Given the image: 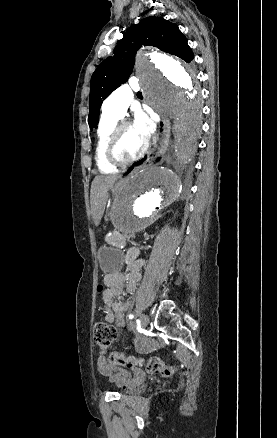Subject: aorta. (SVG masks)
I'll return each instance as SVG.
<instances>
[{
	"mask_svg": "<svg viewBox=\"0 0 277 438\" xmlns=\"http://www.w3.org/2000/svg\"><path fill=\"white\" fill-rule=\"evenodd\" d=\"M136 74L149 104L174 120L175 151L181 160L191 152L200 127V86L196 70L173 57L152 52L136 58ZM181 192L169 168L147 167L132 176L113 204V220L124 233L152 224Z\"/></svg>",
	"mask_w": 277,
	"mask_h": 438,
	"instance_id": "obj_1",
	"label": "aorta"
}]
</instances>
